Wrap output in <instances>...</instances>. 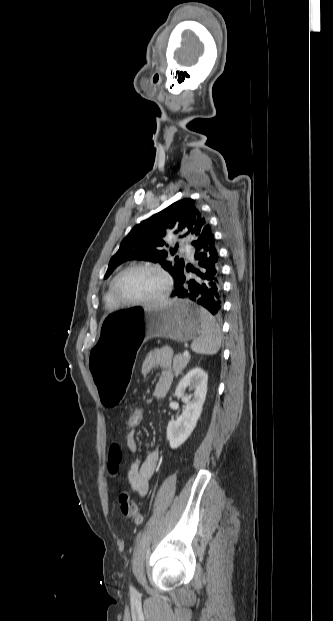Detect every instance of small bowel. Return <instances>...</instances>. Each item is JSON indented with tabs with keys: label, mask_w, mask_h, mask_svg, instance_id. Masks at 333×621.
<instances>
[{
	"label": "small bowel",
	"mask_w": 333,
	"mask_h": 621,
	"mask_svg": "<svg viewBox=\"0 0 333 621\" xmlns=\"http://www.w3.org/2000/svg\"><path fill=\"white\" fill-rule=\"evenodd\" d=\"M172 354L169 350H152L144 358L142 363V373L149 374L155 368H162V372L156 381L153 395L156 399L164 397L169 391L173 374L171 370ZM134 427L126 434V444L129 450L134 453L136 451ZM121 460V452L118 446L113 445L109 450L108 467L112 474L119 469ZM158 462V454L155 450H148L144 458L135 459L128 471V481L134 492L139 496H144L149 488V481L153 476Z\"/></svg>",
	"instance_id": "small-bowel-1"
}]
</instances>
